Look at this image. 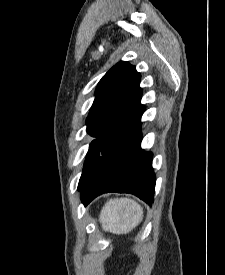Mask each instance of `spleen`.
<instances>
[{
  "instance_id": "3e777b00",
  "label": "spleen",
  "mask_w": 225,
  "mask_h": 275,
  "mask_svg": "<svg viewBox=\"0 0 225 275\" xmlns=\"http://www.w3.org/2000/svg\"><path fill=\"white\" fill-rule=\"evenodd\" d=\"M143 219L142 207L129 198L110 199L103 206L99 222L105 232L127 234Z\"/></svg>"
}]
</instances>
